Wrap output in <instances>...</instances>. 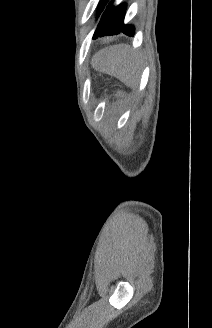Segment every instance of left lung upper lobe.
Wrapping results in <instances>:
<instances>
[{"mask_svg": "<svg viewBox=\"0 0 212 328\" xmlns=\"http://www.w3.org/2000/svg\"><path fill=\"white\" fill-rule=\"evenodd\" d=\"M108 2V0H100L99 2V10H98V13L100 14L102 12V10L104 9L106 3ZM98 14V16H99Z\"/></svg>", "mask_w": 212, "mask_h": 328, "instance_id": "left-lung-upper-lobe-1", "label": "left lung upper lobe"}]
</instances>
